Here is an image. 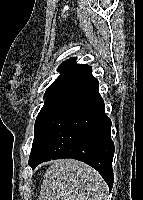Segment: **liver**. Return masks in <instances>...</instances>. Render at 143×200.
<instances>
[{
  "mask_svg": "<svg viewBox=\"0 0 143 200\" xmlns=\"http://www.w3.org/2000/svg\"><path fill=\"white\" fill-rule=\"evenodd\" d=\"M106 195L107 184L94 168L59 159L44 174L39 200H104Z\"/></svg>",
  "mask_w": 143,
  "mask_h": 200,
  "instance_id": "obj_1",
  "label": "liver"
}]
</instances>
